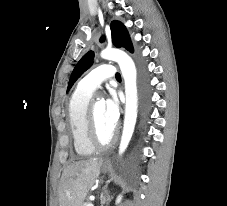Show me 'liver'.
Returning a JSON list of instances; mask_svg holds the SVG:
<instances>
[{
  "label": "liver",
  "mask_w": 227,
  "mask_h": 206,
  "mask_svg": "<svg viewBox=\"0 0 227 206\" xmlns=\"http://www.w3.org/2000/svg\"><path fill=\"white\" fill-rule=\"evenodd\" d=\"M101 162L98 158L83 159L64 169L58 188L59 206H82L100 174Z\"/></svg>",
  "instance_id": "obj_1"
}]
</instances>
